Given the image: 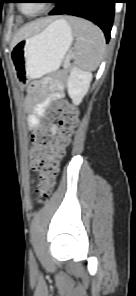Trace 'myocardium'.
<instances>
[{"label":"myocardium","mask_w":136,"mask_h":296,"mask_svg":"<svg viewBox=\"0 0 136 296\" xmlns=\"http://www.w3.org/2000/svg\"><path fill=\"white\" fill-rule=\"evenodd\" d=\"M20 9L22 10L23 13L28 14V15H34V14L36 13V12H35V13H32V14L26 13V12L24 11V9H23V5H22V4L20 5Z\"/></svg>","instance_id":"f54148a6"}]
</instances>
